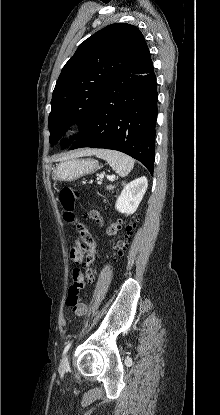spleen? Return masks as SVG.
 Masks as SVG:
<instances>
[{"label":"spleen","instance_id":"spleen-1","mask_svg":"<svg viewBox=\"0 0 220 415\" xmlns=\"http://www.w3.org/2000/svg\"><path fill=\"white\" fill-rule=\"evenodd\" d=\"M94 154L104 159L121 177L127 176L134 167V159L128 155L108 149L96 150Z\"/></svg>","mask_w":220,"mask_h":415}]
</instances>
